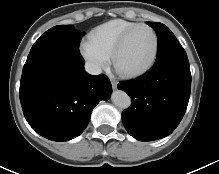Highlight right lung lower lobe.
I'll use <instances>...</instances> for the list:
<instances>
[{
    "label": "right lung lower lobe",
    "instance_id": "98d812e1",
    "mask_svg": "<svg viewBox=\"0 0 219 174\" xmlns=\"http://www.w3.org/2000/svg\"><path fill=\"white\" fill-rule=\"evenodd\" d=\"M109 79L84 70L79 51L58 50L23 67L20 102L29 125L52 141H68L86 128L93 108L108 100Z\"/></svg>",
    "mask_w": 219,
    "mask_h": 174
}]
</instances>
